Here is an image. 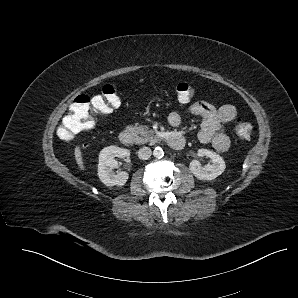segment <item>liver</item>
Masks as SVG:
<instances>
[{
	"mask_svg": "<svg viewBox=\"0 0 298 298\" xmlns=\"http://www.w3.org/2000/svg\"><path fill=\"white\" fill-rule=\"evenodd\" d=\"M74 155H75V160H76L77 165L79 166V168L81 170H84L85 167H84V164H83L82 152H81V149H80L79 146L75 147Z\"/></svg>",
	"mask_w": 298,
	"mask_h": 298,
	"instance_id": "obj_1",
	"label": "liver"
}]
</instances>
